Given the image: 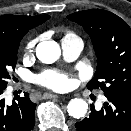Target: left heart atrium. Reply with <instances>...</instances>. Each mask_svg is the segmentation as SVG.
Instances as JSON below:
<instances>
[{
  "label": "left heart atrium",
  "mask_w": 131,
  "mask_h": 131,
  "mask_svg": "<svg viewBox=\"0 0 131 131\" xmlns=\"http://www.w3.org/2000/svg\"><path fill=\"white\" fill-rule=\"evenodd\" d=\"M35 79L39 85L55 91H64L69 87L68 76L55 71H44Z\"/></svg>",
  "instance_id": "obj_1"
}]
</instances>
